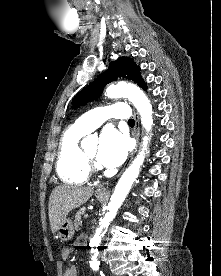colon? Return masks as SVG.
<instances>
[{
	"instance_id": "colon-1",
	"label": "colon",
	"mask_w": 221,
	"mask_h": 276,
	"mask_svg": "<svg viewBox=\"0 0 221 276\" xmlns=\"http://www.w3.org/2000/svg\"><path fill=\"white\" fill-rule=\"evenodd\" d=\"M56 247H57V249H64V244H63V242H56Z\"/></svg>"
}]
</instances>
